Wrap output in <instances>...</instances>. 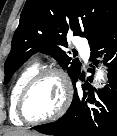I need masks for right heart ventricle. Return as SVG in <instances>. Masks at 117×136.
I'll list each match as a JSON object with an SVG mask.
<instances>
[{
	"instance_id": "obj_1",
	"label": "right heart ventricle",
	"mask_w": 117,
	"mask_h": 136,
	"mask_svg": "<svg viewBox=\"0 0 117 136\" xmlns=\"http://www.w3.org/2000/svg\"><path fill=\"white\" fill-rule=\"evenodd\" d=\"M39 70V63L34 62L24 68L16 77L10 91L9 115L15 125H22L23 121L17 116L16 108L21 90L29 79Z\"/></svg>"
}]
</instances>
